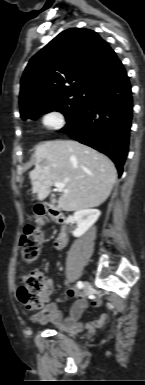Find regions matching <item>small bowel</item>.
Masks as SVG:
<instances>
[{
  "label": "small bowel",
  "instance_id": "small-bowel-1",
  "mask_svg": "<svg viewBox=\"0 0 145 385\" xmlns=\"http://www.w3.org/2000/svg\"><path fill=\"white\" fill-rule=\"evenodd\" d=\"M52 292L53 281L52 279H47L46 290L43 295L45 304L40 311L31 316L33 322L58 325L62 330L71 335H75L83 330L88 334L93 335L96 333L97 329L107 321V317L102 316L99 319L91 320L86 323L81 322L89 305L94 307L100 306L102 303L101 299H87L85 298V295L78 294L74 290L68 289L53 301L51 300ZM72 297L76 298V302L70 309L69 317L63 319L60 306L65 304Z\"/></svg>",
  "mask_w": 145,
  "mask_h": 385
}]
</instances>
